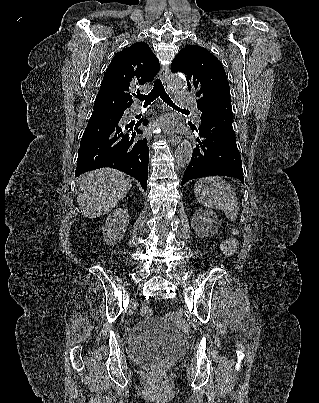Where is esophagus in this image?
<instances>
[{"mask_svg":"<svg viewBox=\"0 0 319 403\" xmlns=\"http://www.w3.org/2000/svg\"><path fill=\"white\" fill-rule=\"evenodd\" d=\"M168 74H169V67L163 66L160 70L159 76L164 83L167 82ZM167 139L173 146H176L180 142L181 138L174 132H167Z\"/></svg>","mask_w":319,"mask_h":403,"instance_id":"1","label":"esophagus"}]
</instances>
